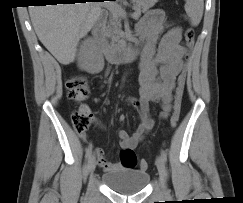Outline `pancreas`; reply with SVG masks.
Instances as JSON below:
<instances>
[{"mask_svg":"<svg viewBox=\"0 0 243 203\" xmlns=\"http://www.w3.org/2000/svg\"><path fill=\"white\" fill-rule=\"evenodd\" d=\"M158 0H131L133 4L132 8L137 13L138 17L141 13L147 12L151 7L157 3ZM121 19L122 16L117 12H111L106 25L103 26L104 35L111 39V45L117 46L123 43L121 38L124 33L121 30Z\"/></svg>","mask_w":243,"mask_h":203,"instance_id":"pancreas-1","label":"pancreas"}]
</instances>
